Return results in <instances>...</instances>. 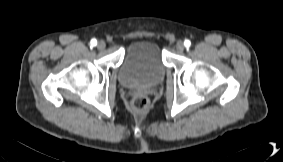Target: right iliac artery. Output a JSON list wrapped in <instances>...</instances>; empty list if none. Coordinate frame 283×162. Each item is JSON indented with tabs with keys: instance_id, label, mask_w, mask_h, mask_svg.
Masks as SVG:
<instances>
[{
	"instance_id": "1",
	"label": "right iliac artery",
	"mask_w": 283,
	"mask_h": 162,
	"mask_svg": "<svg viewBox=\"0 0 283 162\" xmlns=\"http://www.w3.org/2000/svg\"><path fill=\"white\" fill-rule=\"evenodd\" d=\"M91 45L92 46H96L97 45V40L96 39H92L91 40Z\"/></svg>"
}]
</instances>
